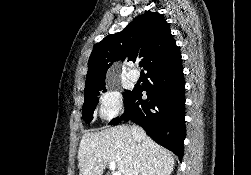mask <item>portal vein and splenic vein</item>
<instances>
[{
	"instance_id": "18ae733b",
	"label": "portal vein and splenic vein",
	"mask_w": 251,
	"mask_h": 175,
	"mask_svg": "<svg viewBox=\"0 0 251 175\" xmlns=\"http://www.w3.org/2000/svg\"><path fill=\"white\" fill-rule=\"evenodd\" d=\"M109 167H110V169H112V175H122V173H120V171H115V169H116L115 161H110Z\"/></svg>"
}]
</instances>
